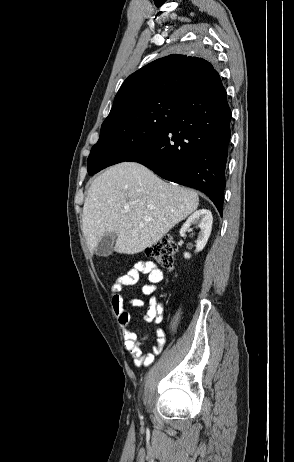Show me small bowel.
Listing matches in <instances>:
<instances>
[{"label":"small bowel","mask_w":294,"mask_h":462,"mask_svg":"<svg viewBox=\"0 0 294 462\" xmlns=\"http://www.w3.org/2000/svg\"><path fill=\"white\" fill-rule=\"evenodd\" d=\"M146 275L148 282L142 286V293L149 297L148 308L143 315L144 321L160 324L163 319V305L158 302L155 295L157 284L163 279V272L151 261H138L133 268L114 280L111 286L110 301L113 311L123 327L124 346L133 359L136 367L149 366L156 355L160 354L165 344V333L158 327L156 329V344L147 353L143 351V344L148 340V335H138L128 328L130 315L126 309L123 290L135 285L140 275ZM130 303L137 308H142L144 302L141 299H132Z\"/></svg>","instance_id":"obj_1"}]
</instances>
